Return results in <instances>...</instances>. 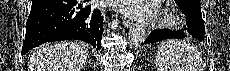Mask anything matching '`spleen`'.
<instances>
[{
  "label": "spleen",
  "mask_w": 230,
  "mask_h": 71,
  "mask_svg": "<svg viewBox=\"0 0 230 71\" xmlns=\"http://www.w3.org/2000/svg\"><path fill=\"white\" fill-rule=\"evenodd\" d=\"M157 71H204L201 54L182 40H165L158 47Z\"/></svg>",
  "instance_id": "1"
}]
</instances>
